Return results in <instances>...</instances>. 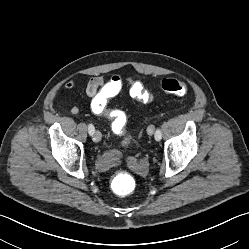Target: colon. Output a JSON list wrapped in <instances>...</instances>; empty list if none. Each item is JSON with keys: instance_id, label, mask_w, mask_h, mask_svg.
Listing matches in <instances>:
<instances>
[{"instance_id": "1", "label": "colon", "mask_w": 249, "mask_h": 249, "mask_svg": "<svg viewBox=\"0 0 249 249\" xmlns=\"http://www.w3.org/2000/svg\"><path fill=\"white\" fill-rule=\"evenodd\" d=\"M112 88L110 90L111 95H116L119 93L124 84L129 86V94L132 98L137 99L143 103H149L152 100L151 92L145 87V85L139 79L133 77L123 78L120 75H114L111 78ZM161 89L165 93L183 96L187 93V84L178 79L167 78L163 79L161 82ZM126 127V117L125 119L116 120L113 124V131L116 134H122ZM129 177L125 173H120L114 181L115 193L121 196L127 195L131 192L129 186Z\"/></svg>"}]
</instances>
